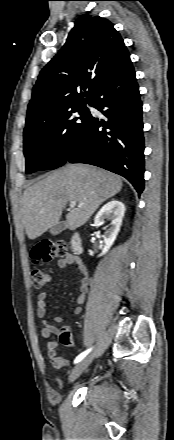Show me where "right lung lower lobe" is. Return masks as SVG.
<instances>
[{"instance_id": "obj_1", "label": "right lung lower lobe", "mask_w": 174, "mask_h": 440, "mask_svg": "<svg viewBox=\"0 0 174 440\" xmlns=\"http://www.w3.org/2000/svg\"><path fill=\"white\" fill-rule=\"evenodd\" d=\"M89 105L102 116L89 115L86 129L65 162L95 165L144 189L142 102L132 62L108 76L94 91Z\"/></svg>"}]
</instances>
